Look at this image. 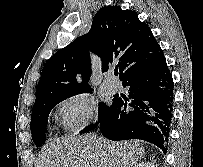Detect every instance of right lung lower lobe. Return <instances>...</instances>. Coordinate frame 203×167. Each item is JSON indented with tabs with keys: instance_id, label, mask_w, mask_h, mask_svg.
Returning a JSON list of instances; mask_svg holds the SVG:
<instances>
[{
	"instance_id": "obj_1",
	"label": "right lung lower lobe",
	"mask_w": 203,
	"mask_h": 167,
	"mask_svg": "<svg viewBox=\"0 0 203 167\" xmlns=\"http://www.w3.org/2000/svg\"><path fill=\"white\" fill-rule=\"evenodd\" d=\"M122 85L129 87L132 100L127 103L121 98L114 99L100 121L101 133L114 141L146 140L166 153L174 99L173 79L166 60L126 78Z\"/></svg>"
}]
</instances>
